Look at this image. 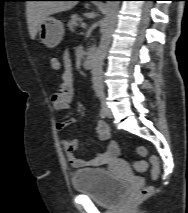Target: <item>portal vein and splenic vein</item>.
Masks as SVG:
<instances>
[{
  "instance_id": "obj_1",
  "label": "portal vein and splenic vein",
  "mask_w": 188,
  "mask_h": 213,
  "mask_svg": "<svg viewBox=\"0 0 188 213\" xmlns=\"http://www.w3.org/2000/svg\"><path fill=\"white\" fill-rule=\"evenodd\" d=\"M81 27H82V28H86V23H82V24H81Z\"/></svg>"
}]
</instances>
